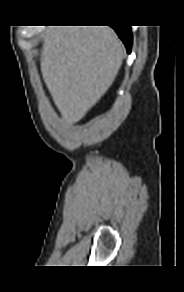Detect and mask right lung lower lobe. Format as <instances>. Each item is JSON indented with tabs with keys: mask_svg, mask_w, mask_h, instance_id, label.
Here are the masks:
<instances>
[{
	"mask_svg": "<svg viewBox=\"0 0 184 292\" xmlns=\"http://www.w3.org/2000/svg\"><path fill=\"white\" fill-rule=\"evenodd\" d=\"M120 39L123 41L127 48V52L130 53L132 46V33L130 26H112Z\"/></svg>",
	"mask_w": 184,
	"mask_h": 292,
	"instance_id": "obj_1",
	"label": "right lung lower lobe"
}]
</instances>
